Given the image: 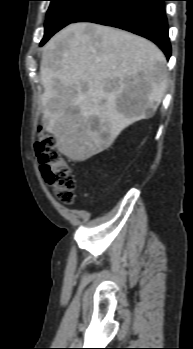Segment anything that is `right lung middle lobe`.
Instances as JSON below:
<instances>
[{
    "instance_id": "dd1d6c3e",
    "label": "right lung middle lobe",
    "mask_w": 193,
    "mask_h": 349,
    "mask_svg": "<svg viewBox=\"0 0 193 349\" xmlns=\"http://www.w3.org/2000/svg\"><path fill=\"white\" fill-rule=\"evenodd\" d=\"M42 46L54 33L72 23L98 0H50Z\"/></svg>"
}]
</instances>
